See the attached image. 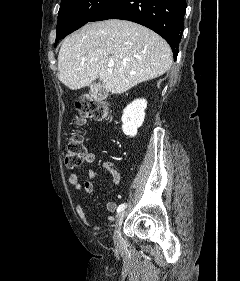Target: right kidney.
I'll return each instance as SVG.
<instances>
[{
	"instance_id": "obj_1",
	"label": "right kidney",
	"mask_w": 240,
	"mask_h": 281,
	"mask_svg": "<svg viewBox=\"0 0 240 281\" xmlns=\"http://www.w3.org/2000/svg\"><path fill=\"white\" fill-rule=\"evenodd\" d=\"M147 101L145 99H136L123 110L122 130L129 137L137 135V130L142 126L145 118V109Z\"/></svg>"
}]
</instances>
